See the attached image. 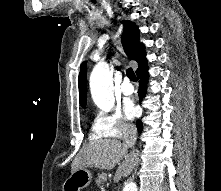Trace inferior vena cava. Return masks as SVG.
<instances>
[{
  "label": "inferior vena cava",
  "mask_w": 221,
  "mask_h": 191,
  "mask_svg": "<svg viewBox=\"0 0 221 191\" xmlns=\"http://www.w3.org/2000/svg\"><path fill=\"white\" fill-rule=\"evenodd\" d=\"M136 140H137V129L133 126L128 127L125 132L124 142L128 148H132L131 153L134 156L138 155L137 151L134 149V145L136 143Z\"/></svg>",
  "instance_id": "1"
}]
</instances>
